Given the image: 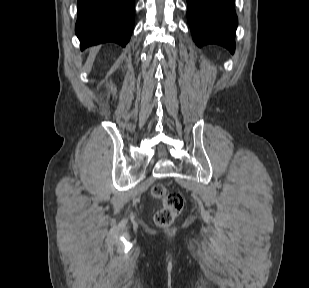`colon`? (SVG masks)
I'll return each instance as SVG.
<instances>
[{
	"mask_svg": "<svg viewBox=\"0 0 309 288\" xmlns=\"http://www.w3.org/2000/svg\"><path fill=\"white\" fill-rule=\"evenodd\" d=\"M153 198L163 203L154 217L155 223L160 227H166L173 223L184 207V198L178 192H168L165 185L156 183L152 186Z\"/></svg>",
	"mask_w": 309,
	"mask_h": 288,
	"instance_id": "colon-1",
	"label": "colon"
}]
</instances>
